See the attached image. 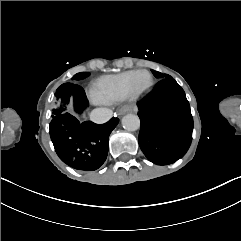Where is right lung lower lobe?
<instances>
[{
	"label": "right lung lower lobe",
	"mask_w": 241,
	"mask_h": 241,
	"mask_svg": "<svg viewBox=\"0 0 241 241\" xmlns=\"http://www.w3.org/2000/svg\"><path fill=\"white\" fill-rule=\"evenodd\" d=\"M74 98V108L81 113L88 100L82 87L71 83L70 97ZM119 119L111 118L104 124L91 121L80 123L66 112L55 116L50 123V137L59 158L68 166L84 171L98 169L108 154V139Z\"/></svg>",
	"instance_id": "98d812e1"
}]
</instances>
